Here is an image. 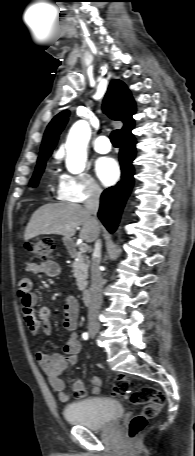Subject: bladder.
<instances>
[{"mask_svg": "<svg viewBox=\"0 0 195 456\" xmlns=\"http://www.w3.org/2000/svg\"><path fill=\"white\" fill-rule=\"evenodd\" d=\"M63 415L71 424L100 430L116 423L123 415V407L110 398H92L67 405Z\"/></svg>", "mask_w": 195, "mask_h": 456, "instance_id": "obj_1", "label": "bladder"}]
</instances>
